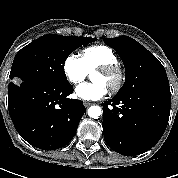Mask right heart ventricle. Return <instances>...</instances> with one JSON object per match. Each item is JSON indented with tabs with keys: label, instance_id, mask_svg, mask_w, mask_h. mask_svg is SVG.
Returning a JSON list of instances; mask_svg holds the SVG:
<instances>
[{
	"label": "right heart ventricle",
	"instance_id": "right-heart-ventricle-1",
	"mask_svg": "<svg viewBox=\"0 0 178 178\" xmlns=\"http://www.w3.org/2000/svg\"><path fill=\"white\" fill-rule=\"evenodd\" d=\"M81 60L87 71L91 72L103 65L117 64L118 56L113 49L106 45H94L82 51Z\"/></svg>",
	"mask_w": 178,
	"mask_h": 178
}]
</instances>
